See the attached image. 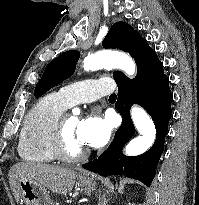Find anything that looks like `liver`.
Returning <instances> with one entry per match:
<instances>
[{
  "instance_id": "liver-1",
  "label": "liver",
  "mask_w": 199,
  "mask_h": 205,
  "mask_svg": "<svg viewBox=\"0 0 199 205\" xmlns=\"http://www.w3.org/2000/svg\"><path fill=\"white\" fill-rule=\"evenodd\" d=\"M77 173L74 170L43 163L20 162L9 171V183L16 202L20 200V181L31 180L53 193L64 195L72 190Z\"/></svg>"
}]
</instances>
